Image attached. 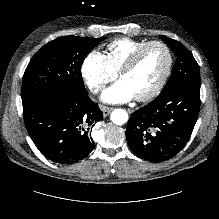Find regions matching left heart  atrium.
I'll list each match as a JSON object with an SVG mask.
<instances>
[{
  "label": "left heart atrium",
  "instance_id": "left-heart-atrium-1",
  "mask_svg": "<svg viewBox=\"0 0 219 219\" xmlns=\"http://www.w3.org/2000/svg\"><path fill=\"white\" fill-rule=\"evenodd\" d=\"M102 100L107 103H124L135 98L134 92L128 84L120 79L108 87L101 96Z\"/></svg>",
  "mask_w": 219,
  "mask_h": 219
}]
</instances>
